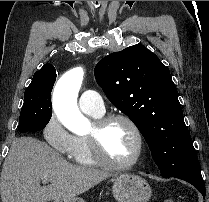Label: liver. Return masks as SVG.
<instances>
[{"label": "liver", "instance_id": "obj_1", "mask_svg": "<svg viewBox=\"0 0 209 202\" xmlns=\"http://www.w3.org/2000/svg\"><path fill=\"white\" fill-rule=\"evenodd\" d=\"M112 175L73 165L33 137L13 141L1 172L2 202H47L76 197ZM43 178L51 184L40 186Z\"/></svg>", "mask_w": 209, "mask_h": 202}]
</instances>
